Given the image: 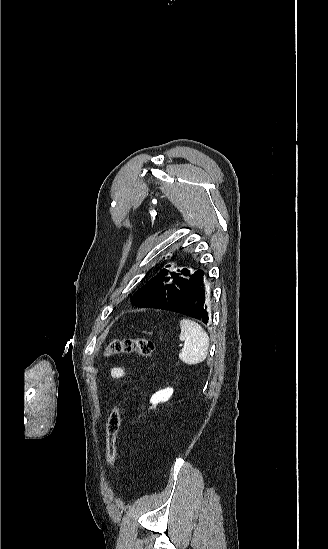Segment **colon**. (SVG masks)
Listing matches in <instances>:
<instances>
[{
    "label": "colon",
    "mask_w": 328,
    "mask_h": 549,
    "mask_svg": "<svg viewBox=\"0 0 328 549\" xmlns=\"http://www.w3.org/2000/svg\"><path fill=\"white\" fill-rule=\"evenodd\" d=\"M156 350L155 344L145 338H122L112 340L106 348V355L138 354L151 356ZM121 407L115 406L108 418L106 427V459L112 471L116 474L117 436L121 425Z\"/></svg>",
    "instance_id": "5ec220e1"
}]
</instances>
